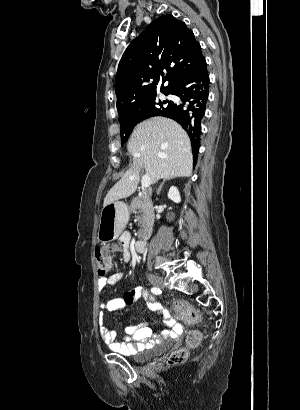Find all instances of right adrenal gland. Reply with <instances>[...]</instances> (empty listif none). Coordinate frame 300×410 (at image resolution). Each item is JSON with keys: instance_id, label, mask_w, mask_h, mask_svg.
Returning <instances> with one entry per match:
<instances>
[{"instance_id": "right-adrenal-gland-1", "label": "right adrenal gland", "mask_w": 300, "mask_h": 410, "mask_svg": "<svg viewBox=\"0 0 300 410\" xmlns=\"http://www.w3.org/2000/svg\"><path fill=\"white\" fill-rule=\"evenodd\" d=\"M173 178H174V177H169V178H166V179L163 180V182L160 184V186H159V188H158V190H157V194H158V195L160 194L164 183H165L167 180H170V179H173Z\"/></svg>"}]
</instances>
